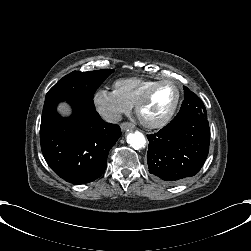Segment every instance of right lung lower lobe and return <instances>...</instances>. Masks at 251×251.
I'll list each match as a JSON object with an SVG mask.
<instances>
[{"instance_id": "98d812e1", "label": "right lung lower lobe", "mask_w": 251, "mask_h": 251, "mask_svg": "<svg viewBox=\"0 0 251 251\" xmlns=\"http://www.w3.org/2000/svg\"><path fill=\"white\" fill-rule=\"evenodd\" d=\"M69 103L73 114L68 118L61 117L56 107L42 114L41 149L49 167L62 179L85 184L104 173L109 150L121 129L103 121L95 107Z\"/></svg>"}]
</instances>
